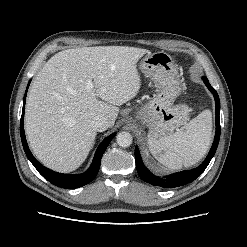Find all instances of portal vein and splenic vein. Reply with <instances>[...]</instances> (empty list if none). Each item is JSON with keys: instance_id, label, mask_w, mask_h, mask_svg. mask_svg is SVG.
<instances>
[{"instance_id": "18ae733b", "label": "portal vein and splenic vein", "mask_w": 247, "mask_h": 247, "mask_svg": "<svg viewBox=\"0 0 247 247\" xmlns=\"http://www.w3.org/2000/svg\"><path fill=\"white\" fill-rule=\"evenodd\" d=\"M92 87H93L92 83L89 82V83L87 84V88L90 89V88H92Z\"/></svg>"}]
</instances>
